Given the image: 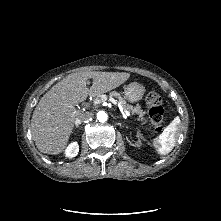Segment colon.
<instances>
[{
  "label": "colon",
  "instance_id": "obj_1",
  "mask_svg": "<svg viewBox=\"0 0 221 221\" xmlns=\"http://www.w3.org/2000/svg\"><path fill=\"white\" fill-rule=\"evenodd\" d=\"M147 112L150 122L155 131H159L163 124V99L156 91H151L145 98Z\"/></svg>",
  "mask_w": 221,
  "mask_h": 221
}]
</instances>
